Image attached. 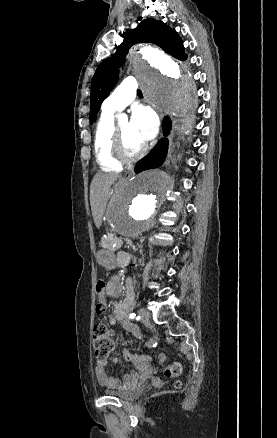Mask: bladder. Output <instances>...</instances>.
<instances>
[{
  "mask_svg": "<svg viewBox=\"0 0 277 438\" xmlns=\"http://www.w3.org/2000/svg\"><path fill=\"white\" fill-rule=\"evenodd\" d=\"M141 390L140 382H134L132 385H129L126 389H104L103 394L113 395L124 402H130L133 399H136L139 396V392Z\"/></svg>",
  "mask_w": 277,
  "mask_h": 438,
  "instance_id": "obj_1",
  "label": "bladder"
}]
</instances>
